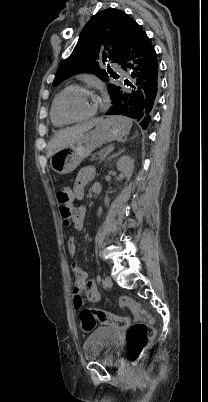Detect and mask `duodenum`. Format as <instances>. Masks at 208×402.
<instances>
[{
    "mask_svg": "<svg viewBox=\"0 0 208 402\" xmlns=\"http://www.w3.org/2000/svg\"><path fill=\"white\" fill-rule=\"evenodd\" d=\"M92 191H93V193L95 195H98L100 193V191H101V188H100L99 185H94L93 188H92Z\"/></svg>",
    "mask_w": 208,
    "mask_h": 402,
    "instance_id": "duodenum-1",
    "label": "duodenum"
}]
</instances>
